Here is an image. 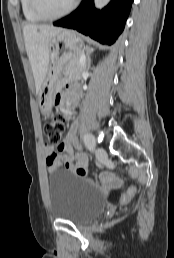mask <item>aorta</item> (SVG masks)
Masks as SVG:
<instances>
[{
    "instance_id": "aorta-1",
    "label": "aorta",
    "mask_w": 174,
    "mask_h": 258,
    "mask_svg": "<svg viewBox=\"0 0 174 258\" xmlns=\"http://www.w3.org/2000/svg\"><path fill=\"white\" fill-rule=\"evenodd\" d=\"M110 0H94V5L97 9H102L104 8Z\"/></svg>"
}]
</instances>
